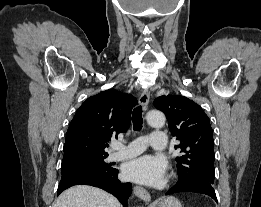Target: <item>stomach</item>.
<instances>
[{
    "instance_id": "1",
    "label": "stomach",
    "mask_w": 261,
    "mask_h": 207,
    "mask_svg": "<svg viewBox=\"0 0 261 207\" xmlns=\"http://www.w3.org/2000/svg\"><path fill=\"white\" fill-rule=\"evenodd\" d=\"M151 207H183L180 201L173 197L168 196L166 198L155 201Z\"/></svg>"
}]
</instances>
